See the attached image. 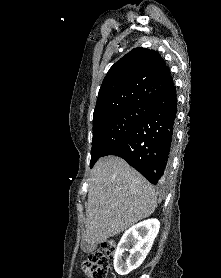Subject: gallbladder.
Returning a JSON list of instances; mask_svg holds the SVG:
<instances>
[{
    "mask_svg": "<svg viewBox=\"0 0 221 278\" xmlns=\"http://www.w3.org/2000/svg\"><path fill=\"white\" fill-rule=\"evenodd\" d=\"M82 249L84 250V251H89V249H90V245L89 244H87V243H84L83 245H82Z\"/></svg>",
    "mask_w": 221,
    "mask_h": 278,
    "instance_id": "bac80fb5",
    "label": "gallbladder"
}]
</instances>
